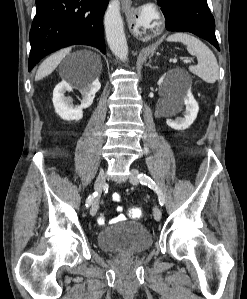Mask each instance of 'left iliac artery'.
Wrapping results in <instances>:
<instances>
[{"mask_svg":"<svg viewBox=\"0 0 247 299\" xmlns=\"http://www.w3.org/2000/svg\"><path fill=\"white\" fill-rule=\"evenodd\" d=\"M138 178L141 184L147 185L149 188H151L153 191L157 193L159 204L160 206H163L165 204V198L160 188L156 185V183L146 174H139Z\"/></svg>","mask_w":247,"mask_h":299,"instance_id":"44dca946","label":"left iliac artery"}]
</instances>
